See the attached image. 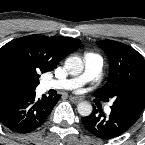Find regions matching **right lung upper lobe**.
Returning a JSON list of instances; mask_svg holds the SVG:
<instances>
[{"label": "right lung upper lobe", "instance_id": "obj_1", "mask_svg": "<svg viewBox=\"0 0 145 145\" xmlns=\"http://www.w3.org/2000/svg\"><path fill=\"white\" fill-rule=\"evenodd\" d=\"M80 44L78 39L35 34L4 45L0 48V99L35 93L40 73L52 71Z\"/></svg>", "mask_w": 145, "mask_h": 145}]
</instances>
